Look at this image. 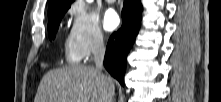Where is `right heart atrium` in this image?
<instances>
[{
	"mask_svg": "<svg viewBox=\"0 0 221 102\" xmlns=\"http://www.w3.org/2000/svg\"><path fill=\"white\" fill-rule=\"evenodd\" d=\"M70 41L79 58H87L104 44L98 19L81 6L71 10Z\"/></svg>",
	"mask_w": 221,
	"mask_h": 102,
	"instance_id": "right-heart-atrium-1",
	"label": "right heart atrium"
}]
</instances>
